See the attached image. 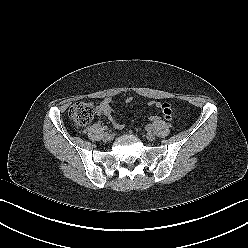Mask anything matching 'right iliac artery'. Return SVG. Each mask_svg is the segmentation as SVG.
Listing matches in <instances>:
<instances>
[{
    "instance_id": "82829eb1",
    "label": "right iliac artery",
    "mask_w": 248,
    "mask_h": 248,
    "mask_svg": "<svg viewBox=\"0 0 248 248\" xmlns=\"http://www.w3.org/2000/svg\"><path fill=\"white\" fill-rule=\"evenodd\" d=\"M103 130L108 131L109 130L108 126H103Z\"/></svg>"
}]
</instances>
